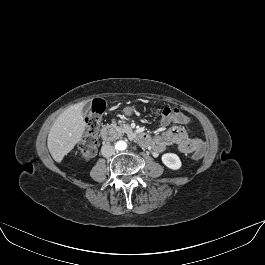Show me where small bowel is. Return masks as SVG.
I'll list each match as a JSON object with an SVG mask.
<instances>
[{
  "label": "small bowel",
  "instance_id": "small-bowel-1",
  "mask_svg": "<svg viewBox=\"0 0 265 265\" xmlns=\"http://www.w3.org/2000/svg\"><path fill=\"white\" fill-rule=\"evenodd\" d=\"M171 123H178L180 125L171 127L151 140V147L156 152H162L170 145H175L180 152L186 154L204 148L202 140L194 137L190 129L185 126L186 122H180L168 117L161 118V124L163 126L166 127Z\"/></svg>",
  "mask_w": 265,
  "mask_h": 265
}]
</instances>
